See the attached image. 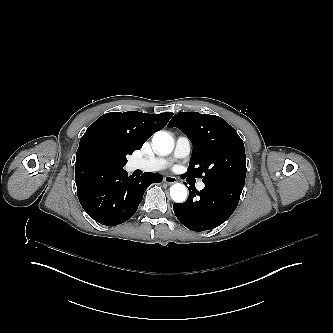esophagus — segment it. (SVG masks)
<instances>
[{"label": "esophagus", "instance_id": "obj_1", "mask_svg": "<svg viewBox=\"0 0 333 333\" xmlns=\"http://www.w3.org/2000/svg\"><path fill=\"white\" fill-rule=\"evenodd\" d=\"M164 182H166L168 184H173V183L177 182V178L173 177V176H165Z\"/></svg>", "mask_w": 333, "mask_h": 333}]
</instances>
